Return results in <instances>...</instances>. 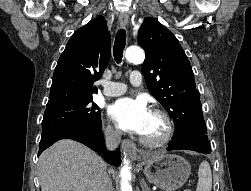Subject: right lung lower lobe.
<instances>
[{
    "label": "right lung lower lobe",
    "instance_id": "1",
    "mask_svg": "<svg viewBox=\"0 0 251 191\" xmlns=\"http://www.w3.org/2000/svg\"><path fill=\"white\" fill-rule=\"evenodd\" d=\"M101 128V125L93 127L79 123H71L56 127L42 133L38 155L54 142L68 138L81 142L94 151L103 152V156L108 163L119 166L121 163L120 151L119 149L115 151L106 150Z\"/></svg>",
    "mask_w": 251,
    "mask_h": 191
}]
</instances>
